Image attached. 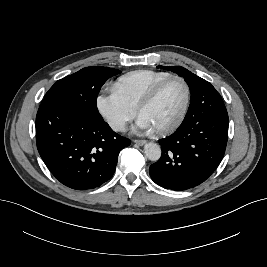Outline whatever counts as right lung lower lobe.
<instances>
[{
  "mask_svg": "<svg viewBox=\"0 0 267 267\" xmlns=\"http://www.w3.org/2000/svg\"><path fill=\"white\" fill-rule=\"evenodd\" d=\"M36 143L47 168L75 190L94 189L114 174L119 152L130 145L103 118L43 101L36 116Z\"/></svg>",
  "mask_w": 267,
  "mask_h": 267,
  "instance_id": "98d812e1",
  "label": "right lung lower lobe"
}]
</instances>
